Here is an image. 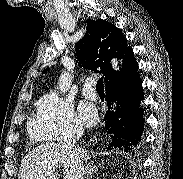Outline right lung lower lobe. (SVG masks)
Here are the masks:
<instances>
[{
    "mask_svg": "<svg viewBox=\"0 0 183 179\" xmlns=\"http://www.w3.org/2000/svg\"><path fill=\"white\" fill-rule=\"evenodd\" d=\"M137 71L138 65L106 85V101L111 109L105 117L106 130L111 134L108 150L119 148L132 152L141 141L145 120L139 103L144 98Z\"/></svg>",
    "mask_w": 183,
    "mask_h": 179,
    "instance_id": "98d812e1",
    "label": "right lung lower lobe"
}]
</instances>
